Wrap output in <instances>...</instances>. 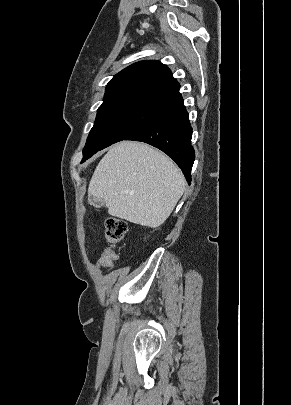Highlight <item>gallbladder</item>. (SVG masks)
I'll return each mask as SVG.
<instances>
[{"instance_id":"1","label":"gallbladder","mask_w":291,"mask_h":405,"mask_svg":"<svg viewBox=\"0 0 291 405\" xmlns=\"http://www.w3.org/2000/svg\"><path fill=\"white\" fill-rule=\"evenodd\" d=\"M89 202L94 205L96 208H100L104 205L103 201L101 200H94L93 198L89 199Z\"/></svg>"}]
</instances>
